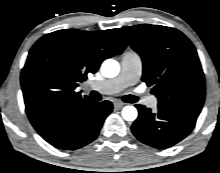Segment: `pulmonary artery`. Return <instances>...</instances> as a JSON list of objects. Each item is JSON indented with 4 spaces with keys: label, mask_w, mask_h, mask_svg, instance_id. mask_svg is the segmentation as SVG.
<instances>
[{
    "label": "pulmonary artery",
    "mask_w": 220,
    "mask_h": 173,
    "mask_svg": "<svg viewBox=\"0 0 220 173\" xmlns=\"http://www.w3.org/2000/svg\"><path fill=\"white\" fill-rule=\"evenodd\" d=\"M129 64H132V73H128ZM140 73V63L136 56L125 57L123 62L122 75L114 80L106 81L101 85L97 86L96 89L101 93L114 94L118 93L130 84L138 80ZM149 101L155 103V99L149 98Z\"/></svg>",
    "instance_id": "pulmonary-artery-1"
}]
</instances>
